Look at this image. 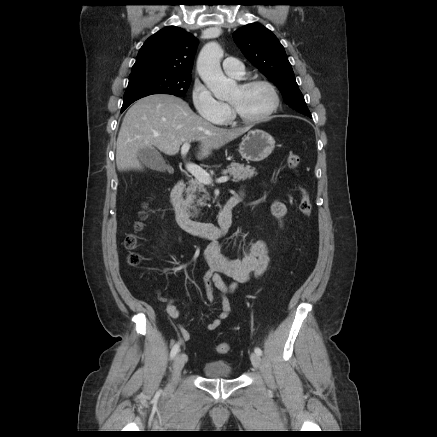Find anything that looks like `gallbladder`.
<instances>
[{
	"instance_id": "bac80fb5",
	"label": "gallbladder",
	"mask_w": 437,
	"mask_h": 437,
	"mask_svg": "<svg viewBox=\"0 0 437 437\" xmlns=\"http://www.w3.org/2000/svg\"><path fill=\"white\" fill-rule=\"evenodd\" d=\"M139 160L148 168L163 172L167 169V165L162 156L154 149L145 147L138 151Z\"/></svg>"
}]
</instances>
